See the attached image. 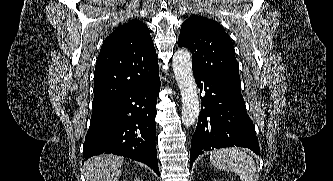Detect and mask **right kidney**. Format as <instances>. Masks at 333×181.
<instances>
[{
  "label": "right kidney",
  "instance_id": "right-kidney-1",
  "mask_svg": "<svg viewBox=\"0 0 333 181\" xmlns=\"http://www.w3.org/2000/svg\"><path fill=\"white\" fill-rule=\"evenodd\" d=\"M134 181H140L139 179H136V180H134Z\"/></svg>",
  "mask_w": 333,
  "mask_h": 181
}]
</instances>
